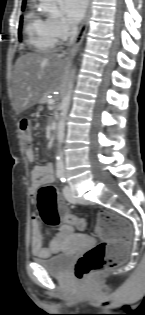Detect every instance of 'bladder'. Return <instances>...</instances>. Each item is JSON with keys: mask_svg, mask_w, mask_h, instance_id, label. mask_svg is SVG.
<instances>
[{"mask_svg": "<svg viewBox=\"0 0 145 315\" xmlns=\"http://www.w3.org/2000/svg\"><path fill=\"white\" fill-rule=\"evenodd\" d=\"M87 249V248H74ZM74 256H65V252L55 255L46 260H39L38 263L52 276L62 277L72 267Z\"/></svg>", "mask_w": 145, "mask_h": 315, "instance_id": "bladder-1", "label": "bladder"}]
</instances>
